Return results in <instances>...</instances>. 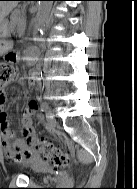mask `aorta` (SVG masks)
<instances>
[{
    "instance_id": "aorta-1",
    "label": "aorta",
    "mask_w": 137,
    "mask_h": 189,
    "mask_svg": "<svg viewBox=\"0 0 137 189\" xmlns=\"http://www.w3.org/2000/svg\"><path fill=\"white\" fill-rule=\"evenodd\" d=\"M52 4L53 1H39L36 19L40 31L47 24Z\"/></svg>"
}]
</instances>
